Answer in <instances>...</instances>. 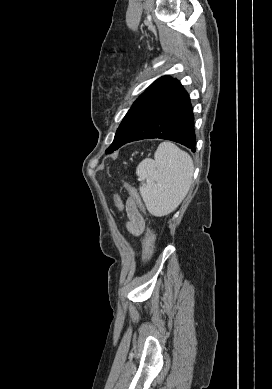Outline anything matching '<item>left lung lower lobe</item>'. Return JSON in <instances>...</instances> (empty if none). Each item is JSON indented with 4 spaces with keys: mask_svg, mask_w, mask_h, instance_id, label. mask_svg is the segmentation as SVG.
Returning <instances> with one entry per match:
<instances>
[{
    "mask_svg": "<svg viewBox=\"0 0 272 389\" xmlns=\"http://www.w3.org/2000/svg\"><path fill=\"white\" fill-rule=\"evenodd\" d=\"M166 139L195 152L194 117L187 91L172 79L147 102L122 145L142 139Z\"/></svg>",
    "mask_w": 272,
    "mask_h": 389,
    "instance_id": "left-lung-lower-lobe-1",
    "label": "left lung lower lobe"
}]
</instances>
